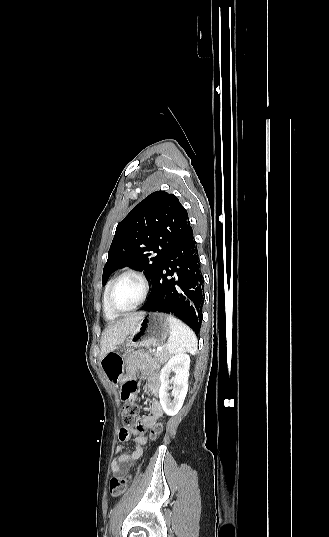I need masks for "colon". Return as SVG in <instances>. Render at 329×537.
I'll return each instance as SVG.
<instances>
[{
	"label": "colon",
	"mask_w": 329,
	"mask_h": 537,
	"mask_svg": "<svg viewBox=\"0 0 329 537\" xmlns=\"http://www.w3.org/2000/svg\"><path fill=\"white\" fill-rule=\"evenodd\" d=\"M129 381V380H128ZM123 391V390H122ZM136 393L130 400H126L125 406L122 409V433L126 429H131L133 426L141 428V424L136 423V418L140 412V408L136 403ZM122 398V397H121ZM123 400V398H122ZM161 424H157L149 431V439L153 440L161 431ZM129 477H113L110 480V493L113 497H118L123 494L128 486Z\"/></svg>",
	"instance_id": "1"
}]
</instances>
